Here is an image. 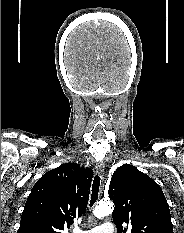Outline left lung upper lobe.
Instances as JSON below:
<instances>
[{
    "mask_svg": "<svg viewBox=\"0 0 184 233\" xmlns=\"http://www.w3.org/2000/svg\"><path fill=\"white\" fill-rule=\"evenodd\" d=\"M108 195L115 204L112 217L117 233H173L161 187L136 167L125 164L117 168ZM123 223L129 227H123Z\"/></svg>",
    "mask_w": 184,
    "mask_h": 233,
    "instance_id": "5c2ea615",
    "label": "left lung upper lobe"
}]
</instances>
